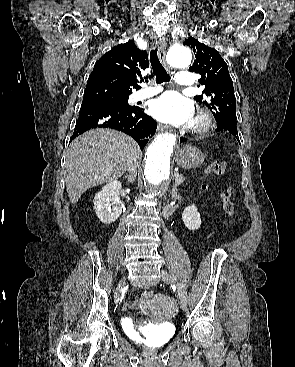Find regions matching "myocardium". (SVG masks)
<instances>
[{"label": "myocardium", "instance_id": "myocardium-1", "mask_svg": "<svg viewBox=\"0 0 295 367\" xmlns=\"http://www.w3.org/2000/svg\"><path fill=\"white\" fill-rule=\"evenodd\" d=\"M213 120L208 112L201 111L191 125V131L196 135H205L212 128Z\"/></svg>", "mask_w": 295, "mask_h": 367}]
</instances>
